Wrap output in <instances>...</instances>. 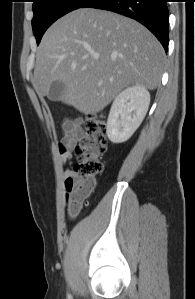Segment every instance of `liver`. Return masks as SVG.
<instances>
[{
	"mask_svg": "<svg viewBox=\"0 0 195 299\" xmlns=\"http://www.w3.org/2000/svg\"><path fill=\"white\" fill-rule=\"evenodd\" d=\"M164 62L162 45L137 21L80 8L58 19L44 34L32 83L38 95L48 96L53 82H63L66 90L59 100L94 115L129 85L155 89Z\"/></svg>",
	"mask_w": 195,
	"mask_h": 299,
	"instance_id": "1",
	"label": "liver"
}]
</instances>
